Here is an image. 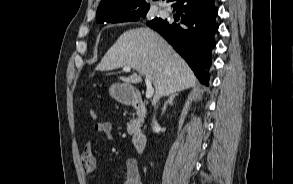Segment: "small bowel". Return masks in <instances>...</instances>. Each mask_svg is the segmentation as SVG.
<instances>
[{"mask_svg": "<svg viewBox=\"0 0 293 184\" xmlns=\"http://www.w3.org/2000/svg\"><path fill=\"white\" fill-rule=\"evenodd\" d=\"M97 132L105 134L109 139L112 138V124L110 122H98L94 125ZM82 171L85 175H90L96 167V159L93 155L91 141H86L81 154ZM125 179L122 184H142L138 162L134 158H129L123 166Z\"/></svg>", "mask_w": 293, "mask_h": 184, "instance_id": "small-bowel-1", "label": "small bowel"}]
</instances>
